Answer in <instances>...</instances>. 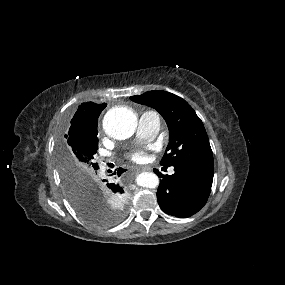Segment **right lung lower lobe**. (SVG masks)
<instances>
[{
    "label": "right lung lower lobe",
    "instance_id": "obj_1",
    "mask_svg": "<svg viewBox=\"0 0 285 285\" xmlns=\"http://www.w3.org/2000/svg\"><path fill=\"white\" fill-rule=\"evenodd\" d=\"M125 171V169L119 168L117 171V175L120 176L123 172ZM116 173H113L112 175H114ZM115 178V177H114ZM104 187L111 191L113 194H122L124 193L123 188L121 186H119V184L113 180V179H109V180H102Z\"/></svg>",
    "mask_w": 285,
    "mask_h": 285
}]
</instances>
